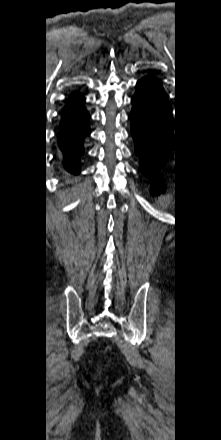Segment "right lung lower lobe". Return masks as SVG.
Returning <instances> with one entry per match:
<instances>
[{"label":"right lung lower lobe","mask_w":221,"mask_h":440,"mask_svg":"<svg viewBox=\"0 0 221 440\" xmlns=\"http://www.w3.org/2000/svg\"><path fill=\"white\" fill-rule=\"evenodd\" d=\"M84 97L72 93L67 101L60 124L58 145L64 155V167L72 173L80 171L79 158L84 153L83 140L90 134L89 113L84 107Z\"/></svg>","instance_id":"right-lung-lower-lobe-1"}]
</instances>
